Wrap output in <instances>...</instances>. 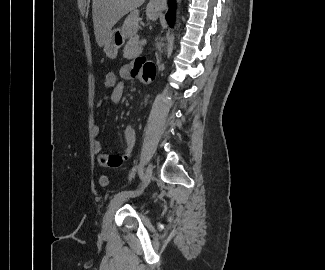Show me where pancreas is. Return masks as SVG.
<instances>
[{
  "label": "pancreas",
  "instance_id": "pancreas-1",
  "mask_svg": "<svg viewBox=\"0 0 325 270\" xmlns=\"http://www.w3.org/2000/svg\"><path fill=\"white\" fill-rule=\"evenodd\" d=\"M142 52V47L140 46L139 39L137 37H132L129 39L124 47V58L133 59Z\"/></svg>",
  "mask_w": 325,
  "mask_h": 270
}]
</instances>
